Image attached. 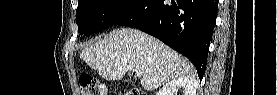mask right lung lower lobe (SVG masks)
I'll return each instance as SVG.
<instances>
[{"instance_id":"98d812e1","label":"right lung lower lobe","mask_w":277,"mask_h":95,"mask_svg":"<svg viewBox=\"0 0 277 95\" xmlns=\"http://www.w3.org/2000/svg\"><path fill=\"white\" fill-rule=\"evenodd\" d=\"M218 10V0H142L115 25L146 32L187 57L200 80Z\"/></svg>"}]
</instances>
